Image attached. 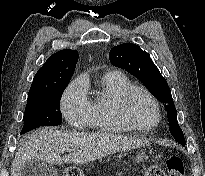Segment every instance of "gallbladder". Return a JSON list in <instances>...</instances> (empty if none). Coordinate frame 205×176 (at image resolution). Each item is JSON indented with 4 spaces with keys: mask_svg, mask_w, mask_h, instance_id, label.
I'll return each instance as SVG.
<instances>
[{
    "mask_svg": "<svg viewBox=\"0 0 205 176\" xmlns=\"http://www.w3.org/2000/svg\"><path fill=\"white\" fill-rule=\"evenodd\" d=\"M20 176H58V171L51 163L32 161L21 168Z\"/></svg>",
    "mask_w": 205,
    "mask_h": 176,
    "instance_id": "obj_1",
    "label": "gallbladder"
}]
</instances>
